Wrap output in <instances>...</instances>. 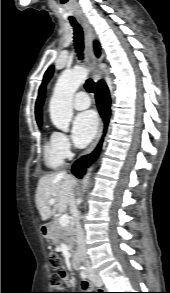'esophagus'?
<instances>
[{
	"instance_id": "34e87169",
	"label": "esophagus",
	"mask_w": 170,
	"mask_h": 293,
	"mask_svg": "<svg viewBox=\"0 0 170 293\" xmlns=\"http://www.w3.org/2000/svg\"><path fill=\"white\" fill-rule=\"evenodd\" d=\"M80 19H81V21L83 23V27H84L86 59H87L88 65L92 71V78L95 82H97L101 77V73L98 70V68H101L103 66V64L101 62V59H98L95 56V52H94L95 35H94L93 28L91 27V25L89 24V22L85 18L80 17ZM102 133H103V121L101 120L97 135L94 138L91 145L84 152V155H87L93 151V149L98 144V142L102 136Z\"/></svg>"
}]
</instances>
